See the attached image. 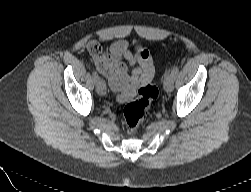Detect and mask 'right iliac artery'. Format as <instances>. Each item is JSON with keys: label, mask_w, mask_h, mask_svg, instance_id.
I'll list each match as a JSON object with an SVG mask.
<instances>
[{"label": "right iliac artery", "mask_w": 251, "mask_h": 192, "mask_svg": "<svg viewBox=\"0 0 251 192\" xmlns=\"http://www.w3.org/2000/svg\"><path fill=\"white\" fill-rule=\"evenodd\" d=\"M92 77L95 83H97L100 80L99 75L97 74L96 71L92 72Z\"/></svg>", "instance_id": "obj_1"}]
</instances>
